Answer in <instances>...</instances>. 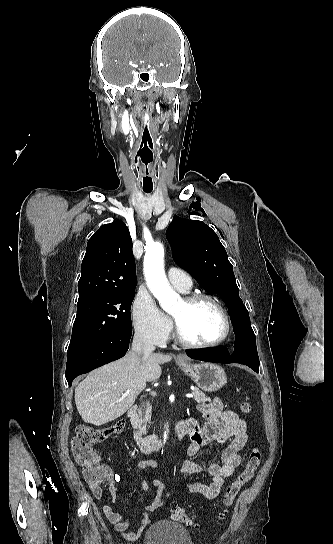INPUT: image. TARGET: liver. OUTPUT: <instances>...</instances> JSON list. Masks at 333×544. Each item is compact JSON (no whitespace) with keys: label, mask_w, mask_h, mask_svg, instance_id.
I'll list each match as a JSON object with an SVG mask.
<instances>
[{"label":"liver","mask_w":333,"mask_h":544,"mask_svg":"<svg viewBox=\"0 0 333 544\" xmlns=\"http://www.w3.org/2000/svg\"><path fill=\"white\" fill-rule=\"evenodd\" d=\"M171 360L172 356L162 353L141 359L130 350L125 357L89 373L75 389V403L83 421L101 426L122 416L146 383L161 376L160 365Z\"/></svg>","instance_id":"1"}]
</instances>
